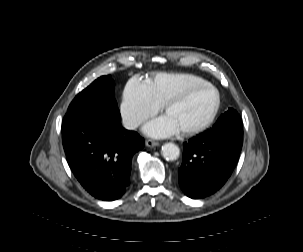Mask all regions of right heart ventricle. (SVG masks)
<instances>
[{"label":"right heart ventricle","mask_w":303,"mask_h":252,"mask_svg":"<svg viewBox=\"0 0 303 252\" xmlns=\"http://www.w3.org/2000/svg\"><path fill=\"white\" fill-rule=\"evenodd\" d=\"M202 82L192 75L158 74L145 86L149 96L160 106L177 99Z\"/></svg>","instance_id":"1"}]
</instances>
